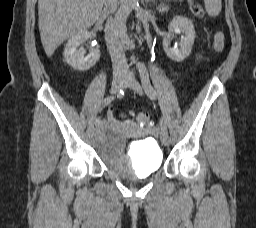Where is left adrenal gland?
Listing matches in <instances>:
<instances>
[{"mask_svg": "<svg viewBox=\"0 0 256 228\" xmlns=\"http://www.w3.org/2000/svg\"><path fill=\"white\" fill-rule=\"evenodd\" d=\"M146 3L153 2L155 4V0H145Z\"/></svg>", "mask_w": 256, "mask_h": 228, "instance_id": "a2214340", "label": "left adrenal gland"}]
</instances>
